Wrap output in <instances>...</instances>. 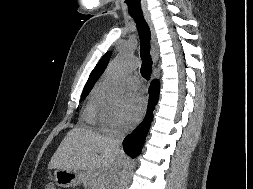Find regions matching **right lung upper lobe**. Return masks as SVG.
Segmentation results:
<instances>
[{"label": "right lung upper lobe", "mask_w": 253, "mask_h": 189, "mask_svg": "<svg viewBox=\"0 0 253 189\" xmlns=\"http://www.w3.org/2000/svg\"><path fill=\"white\" fill-rule=\"evenodd\" d=\"M111 56V52H107L102 58L101 60L98 62V64L96 65V67L94 68V70L91 72L89 79L84 87V90H90L93 88L95 82L97 81V79L100 77V75L104 72L109 59Z\"/></svg>", "instance_id": "right-lung-upper-lobe-1"}]
</instances>
